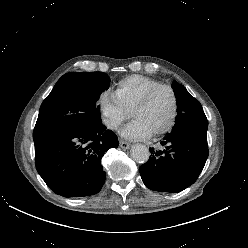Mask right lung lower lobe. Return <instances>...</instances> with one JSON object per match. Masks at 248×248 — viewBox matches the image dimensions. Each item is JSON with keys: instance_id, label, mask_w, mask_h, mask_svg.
<instances>
[{"instance_id": "right-lung-lower-lobe-1", "label": "right lung lower lobe", "mask_w": 248, "mask_h": 248, "mask_svg": "<svg viewBox=\"0 0 248 248\" xmlns=\"http://www.w3.org/2000/svg\"><path fill=\"white\" fill-rule=\"evenodd\" d=\"M33 140L38 173L52 191L64 197L98 193L106 178L102 156L118 147L117 136L104 125H35Z\"/></svg>"}]
</instances>
